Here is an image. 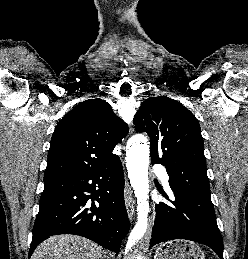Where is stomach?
<instances>
[{
	"label": "stomach",
	"mask_w": 248,
	"mask_h": 259,
	"mask_svg": "<svg viewBox=\"0 0 248 259\" xmlns=\"http://www.w3.org/2000/svg\"><path fill=\"white\" fill-rule=\"evenodd\" d=\"M154 259H205L204 252L194 242L173 240L160 245Z\"/></svg>",
	"instance_id": "1"
}]
</instances>
